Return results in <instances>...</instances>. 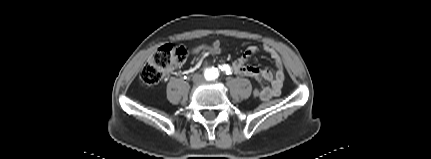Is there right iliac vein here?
Returning <instances> with one entry per match:
<instances>
[{
  "label": "right iliac vein",
  "mask_w": 431,
  "mask_h": 159,
  "mask_svg": "<svg viewBox=\"0 0 431 159\" xmlns=\"http://www.w3.org/2000/svg\"><path fill=\"white\" fill-rule=\"evenodd\" d=\"M199 80H200V76L196 75V76L194 77V81H195V82H197V81H199Z\"/></svg>",
  "instance_id": "obj_1"
}]
</instances>
